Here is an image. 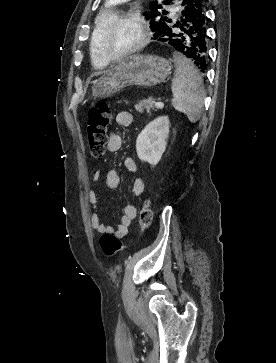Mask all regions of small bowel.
<instances>
[{
    "mask_svg": "<svg viewBox=\"0 0 276 363\" xmlns=\"http://www.w3.org/2000/svg\"><path fill=\"white\" fill-rule=\"evenodd\" d=\"M133 115L128 111H121L116 115V122L120 126H130L133 123ZM122 146V137L119 134L112 133L109 135L107 140V149L110 152H116L120 150ZM125 168L132 174L137 175L138 167L135 161L128 157L124 160ZM101 172L100 170L95 171L93 175V182L97 183L100 179ZM105 183L108 188L116 189L120 183V177L118 172L115 169H110L107 171L105 175ZM132 192L135 196H141L144 192V183L141 178L135 177L132 184ZM88 200L92 206V215H91V227L95 232L98 233H108L113 234L118 238H124L129 233V228L133 222V220L137 217V207L133 204H128L124 208L123 215L120 219V223L116 228L105 225L101 222L98 211H97V195L94 189H89Z\"/></svg>",
    "mask_w": 276,
    "mask_h": 363,
    "instance_id": "c3829d8e",
    "label": "small bowel"
}]
</instances>
